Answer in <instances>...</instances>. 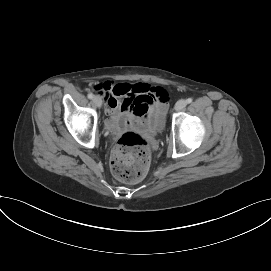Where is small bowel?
Segmentation results:
<instances>
[{"label": "small bowel", "instance_id": "obj_1", "mask_svg": "<svg viewBox=\"0 0 271 271\" xmlns=\"http://www.w3.org/2000/svg\"><path fill=\"white\" fill-rule=\"evenodd\" d=\"M99 95L106 103L109 129L123 125L140 126L163 118L167 106V92L147 83H113L106 81L97 86Z\"/></svg>", "mask_w": 271, "mask_h": 271}]
</instances>
